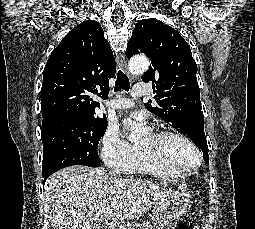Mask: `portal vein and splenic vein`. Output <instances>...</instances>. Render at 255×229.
Masks as SVG:
<instances>
[{
	"instance_id": "obj_1",
	"label": "portal vein and splenic vein",
	"mask_w": 255,
	"mask_h": 229,
	"mask_svg": "<svg viewBox=\"0 0 255 229\" xmlns=\"http://www.w3.org/2000/svg\"><path fill=\"white\" fill-rule=\"evenodd\" d=\"M118 198H114L113 201H117Z\"/></svg>"
}]
</instances>
